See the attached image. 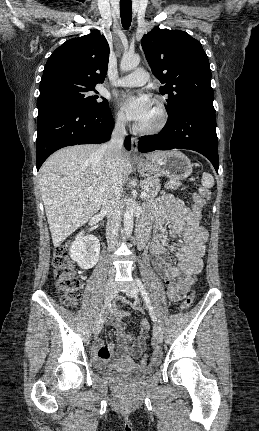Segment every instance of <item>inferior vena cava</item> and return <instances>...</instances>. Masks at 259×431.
Instances as JSON below:
<instances>
[{
	"label": "inferior vena cava",
	"mask_w": 259,
	"mask_h": 431,
	"mask_svg": "<svg viewBox=\"0 0 259 431\" xmlns=\"http://www.w3.org/2000/svg\"><path fill=\"white\" fill-rule=\"evenodd\" d=\"M126 119L119 116L115 123L110 140L100 147L104 153L109 183L106 187L102 206L107 215L106 238L111 251L118 245V232L121 226L122 212L120 197L122 180L120 176L121 154L123 148Z\"/></svg>",
	"instance_id": "inferior-vena-cava-1"
}]
</instances>
